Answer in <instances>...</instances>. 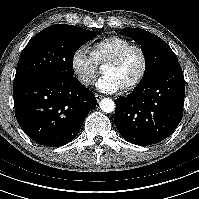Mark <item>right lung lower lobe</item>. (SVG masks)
<instances>
[{
	"mask_svg": "<svg viewBox=\"0 0 199 199\" xmlns=\"http://www.w3.org/2000/svg\"><path fill=\"white\" fill-rule=\"evenodd\" d=\"M15 116L35 142L58 147L72 141L96 105L77 78L37 76L14 81Z\"/></svg>",
	"mask_w": 199,
	"mask_h": 199,
	"instance_id": "98d812e1",
	"label": "right lung lower lobe"
}]
</instances>
